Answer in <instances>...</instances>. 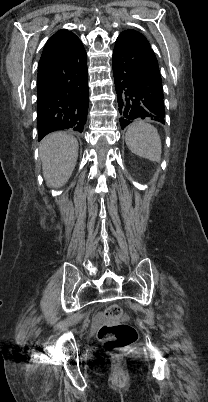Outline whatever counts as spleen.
Segmentation results:
<instances>
[{"label":"spleen","mask_w":208,"mask_h":402,"mask_svg":"<svg viewBox=\"0 0 208 402\" xmlns=\"http://www.w3.org/2000/svg\"><path fill=\"white\" fill-rule=\"evenodd\" d=\"M125 142L129 150L136 156L147 158L151 162H160L161 140L156 128L151 124H145L143 120L130 124L127 128Z\"/></svg>","instance_id":"spleen-1"}]
</instances>
